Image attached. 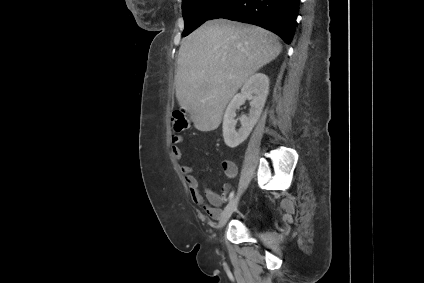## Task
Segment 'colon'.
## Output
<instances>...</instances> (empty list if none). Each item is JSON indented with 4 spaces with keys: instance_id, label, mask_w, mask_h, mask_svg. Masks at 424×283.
Wrapping results in <instances>:
<instances>
[{
    "instance_id": "1",
    "label": "colon",
    "mask_w": 424,
    "mask_h": 283,
    "mask_svg": "<svg viewBox=\"0 0 424 283\" xmlns=\"http://www.w3.org/2000/svg\"><path fill=\"white\" fill-rule=\"evenodd\" d=\"M189 125L188 118L183 109L175 110L171 116V127L173 132L180 133L187 129Z\"/></svg>"
}]
</instances>
